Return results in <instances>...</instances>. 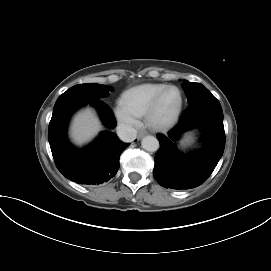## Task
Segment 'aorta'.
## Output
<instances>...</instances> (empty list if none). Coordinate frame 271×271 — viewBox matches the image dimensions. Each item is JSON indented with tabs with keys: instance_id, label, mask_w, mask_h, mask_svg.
I'll return each instance as SVG.
<instances>
[{
	"instance_id": "aorta-1",
	"label": "aorta",
	"mask_w": 271,
	"mask_h": 271,
	"mask_svg": "<svg viewBox=\"0 0 271 271\" xmlns=\"http://www.w3.org/2000/svg\"><path fill=\"white\" fill-rule=\"evenodd\" d=\"M141 145L143 149L149 152H155L160 147L158 139L151 135L144 137L141 141Z\"/></svg>"
}]
</instances>
